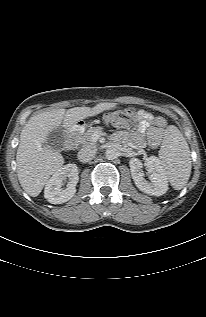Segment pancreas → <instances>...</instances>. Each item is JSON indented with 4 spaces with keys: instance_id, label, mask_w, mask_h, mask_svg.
<instances>
[{
    "instance_id": "pancreas-1",
    "label": "pancreas",
    "mask_w": 206,
    "mask_h": 317,
    "mask_svg": "<svg viewBox=\"0 0 206 317\" xmlns=\"http://www.w3.org/2000/svg\"><path fill=\"white\" fill-rule=\"evenodd\" d=\"M99 127H90L86 132H74L73 141L76 145L95 146L96 141L92 139L94 133L99 132Z\"/></svg>"
}]
</instances>
